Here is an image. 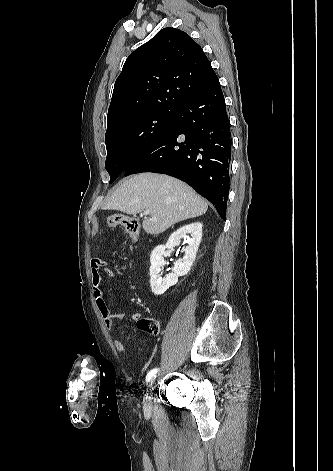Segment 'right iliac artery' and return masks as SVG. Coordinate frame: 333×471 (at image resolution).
I'll return each mask as SVG.
<instances>
[{
	"label": "right iliac artery",
	"mask_w": 333,
	"mask_h": 471,
	"mask_svg": "<svg viewBox=\"0 0 333 471\" xmlns=\"http://www.w3.org/2000/svg\"><path fill=\"white\" fill-rule=\"evenodd\" d=\"M157 372H158V368H155V369H152L151 371H149L147 376H146V381L148 382L152 377H154L156 375Z\"/></svg>",
	"instance_id": "1"
}]
</instances>
